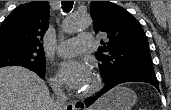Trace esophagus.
Masks as SVG:
<instances>
[{"instance_id": "esophagus-1", "label": "esophagus", "mask_w": 171, "mask_h": 110, "mask_svg": "<svg viewBox=\"0 0 171 110\" xmlns=\"http://www.w3.org/2000/svg\"><path fill=\"white\" fill-rule=\"evenodd\" d=\"M75 103L74 102H70L66 104V110H75Z\"/></svg>"}]
</instances>
